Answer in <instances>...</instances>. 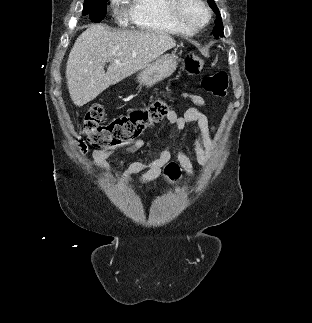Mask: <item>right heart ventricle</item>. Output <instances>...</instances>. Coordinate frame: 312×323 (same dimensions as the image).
<instances>
[{
    "mask_svg": "<svg viewBox=\"0 0 312 323\" xmlns=\"http://www.w3.org/2000/svg\"><path fill=\"white\" fill-rule=\"evenodd\" d=\"M133 13H129V20H133L134 29H154L155 33H181V29H188L190 24L183 22L175 12L174 1L169 0H132Z\"/></svg>",
    "mask_w": 312,
    "mask_h": 323,
    "instance_id": "obj_1",
    "label": "right heart ventricle"
}]
</instances>
